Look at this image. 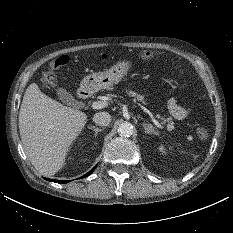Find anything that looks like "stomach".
Listing matches in <instances>:
<instances>
[{"label": "stomach", "instance_id": "stomach-1", "mask_svg": "<svg viewBox=\"0 0 233 233\" xmlns=\"http://www.w3.org/2000/svg\"><path fill=\"white\" fill-rule=\"evenodd\" d=\"M131 66L129 61H118L106 71L87 75L82 80L81 88L86 91L107 89L120 82Z\"/></svg>", "mask_w": 233, "mask_h": 233}]
</instances>
